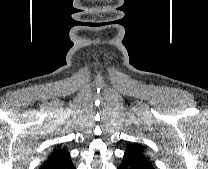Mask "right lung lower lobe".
I'll return each instance as SVG.
<instances>
[{
    "label": "right lung lower lobe",
    "instance_id": "obj_1",
    "mask_svg": "<svg viewBox=\"0 0 208 169\" xmlns=\"http://www.w3.org/2000/svg\"><path fill=\"white\" fill-rule=\"evenodd\" d=\"M49 169H75V167L72 163L71 158H69L65 161H62V162L50 167Z\"/></svg>",
    "mask_w": 208,
    "mask_h": 169
}]
</instances>
